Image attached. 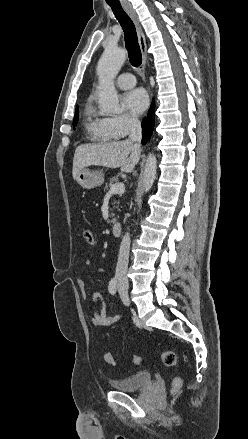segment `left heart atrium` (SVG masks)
I'll return each mask as SVG.
<instances>
[{
	"label": "left heart atrium",
	"instance_id": "left-heart-atrium-1",
	"mask_svg": "<svg viewBox=\"0 0 248 439\" xmlns=\"http://www.w3.org/2000/svg\"><path fill=\"white\" fill-rule=\"evenodd\" d=\"M125 106L135 115H139L145 111L149 100L146 92L141 89H133L123 96Z\"/></svg>",
	"mask_w": 248,
	"mask_h": 439
}]
</instances>
